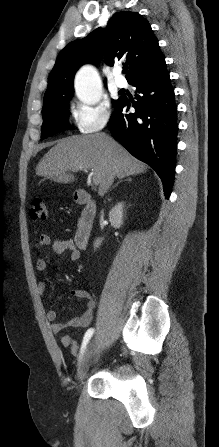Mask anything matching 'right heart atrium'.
I'll return each mask as SVG.
<instances>
[{
  "label": "right heart atrium",
  "instance_id": "1",
  "mask_svg": "<svg viewBox=\"0 0 219 447\" xmlns=\"http://www.w3.org/2000/svg\"><path fill=\"white\" fill-rule=\"evenodd\" d=\"M110 106L95 97L92 105H80L75 112V121L79 131L91 134L100 131L109 121Z\"/></svg>",
  "mask_w": 219,
  "mask_h": 447
}]
</instances>
